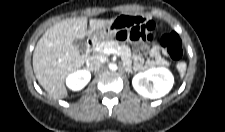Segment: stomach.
<instances>
[{
	"label": "stomach",
	"mask_w": 225,
	"mask_h": 132,
	"mask_svg": "<svg viewBox=\"0 0 225 132\" xmlns=\"http://www.w3.org/2000/svg\"><path fill=\"white\" fill-rule=\"evenodd\" d=\"M117 29L113 25H108L92 33L91 38L96 42L111 40L115 37Z\"/></svg>",
	"instance_id": "0dacf381"
}]
</instances>
